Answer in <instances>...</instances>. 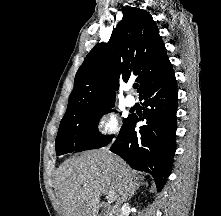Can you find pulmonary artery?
I'll list each match as a JSON object with an SVG mask.
<instances>
[{
    "label": "pulmonary artery",
    "mask_w": 221,
    "mask_h": 216,
    "mask_svg": "<svg viewBox=\"0 0 221 216\" xmlns=\"http://www.w3.org/2000/svg\"><path fill=\"white\" fill-rule=\"evenodd\" d=\"M126 103L129 107H132L136 104V98L133 95L128 94L126 96Z\"/></svg>",
    "instance_id": "e3ab8cb5"
}]
</instances>
